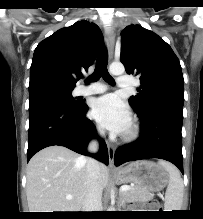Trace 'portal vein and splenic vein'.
I'll return each mask as SVG.
<instances>
[{
  "label": "portal vein and splenic vein",
  "instance_id": "18ae733b",
  "mask_svg": "<svg viewBox=\"0 0 203 219\" xmlns=\"http://www.w3.org/2000/svg\"><path fill=\"white\" fill-rule=\"evenodd\" d=\"M129 189H130L129 186L124 185V186H121V187H120V192H124V191H127V190H129ZM72 198H73L72 195H67V196H66V199H67V200H70V199H72Z\"/></svg>",
  "mask_w": 203,
  "mask_h": 219
}]
</instances>
